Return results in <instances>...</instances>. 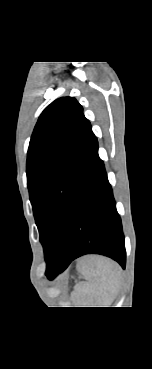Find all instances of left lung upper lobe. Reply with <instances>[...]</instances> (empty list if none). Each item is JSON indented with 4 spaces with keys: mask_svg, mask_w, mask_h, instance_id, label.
Wrapping results in <instances>:
<instances>
[{
    "mask_svg": "<svg viewBox=\"0 0 152 369\" xmlns=\"http://www.w3.org/2000/svg\"><path fill=\"white\" fill-rule=\"evenodd\" d=\"M95 142L91 124L73 97L52 102L34 128L27 154V185L47 262L60 249Z\"/></svg>",
    "mask_w": 152,
    "mask_h": 369,
    "instance_id": "obj_1",
    "label": "left lung upper lobe"
}]
</instances>
